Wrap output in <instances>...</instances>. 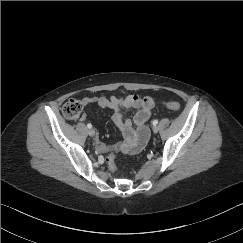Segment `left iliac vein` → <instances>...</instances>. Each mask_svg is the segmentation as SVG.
<instances>
[{"label": "left iliac vein", "instance_id": "1", "mask_svg": "<svg viewBox=\"0 0 243 243\" xmlns=\"http://www.w3.org/2000/svg\"><path fill=\"white\" fill-rule=\"evenodd\" d=\"M153 132H154V133H157V132H158V127H157V126H154V127H153Z\"/></svg>", "mask_w": 243, "mask_h": 243}]
</instances>
